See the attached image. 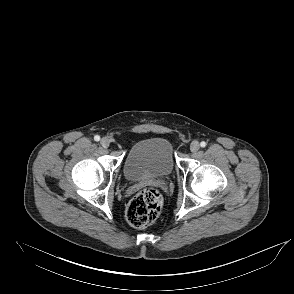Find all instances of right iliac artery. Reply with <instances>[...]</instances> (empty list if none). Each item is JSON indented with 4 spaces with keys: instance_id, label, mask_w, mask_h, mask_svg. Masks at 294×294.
<instances>
[{
    "instance_id": "right-iliac-artery-1",
    "label": "right iliac artery",
    "mask_w": 294,
    "mask_h": 294,
    "mask_svg": "<svg viewBox=\"0 0 294 294\" xmlns=\"http://www.w3.org/2000/svg\"><path fill=\"white\" fill-rule=\"evenodd\" d=\"M94 140H95V141H99V140H100V136L95 135V136H94Z\"/></svg>"
}]
</instances>
